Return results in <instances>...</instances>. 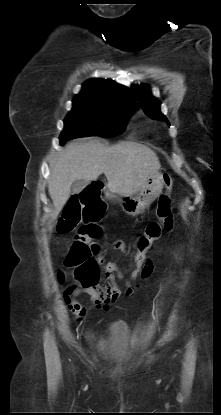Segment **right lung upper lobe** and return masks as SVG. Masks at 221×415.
<instances>
[{"label": "right lung upper lobe", "mask_w": 221, "mask_h": 415, "mask_svg": "<svg viewBox=\"0 0 221 415\" xmlns=\"http://www.w3.org/2000/svg\"><path fill=\"white\" fill-rule=\"evenodd\" d=\"M75 103H91L133 109L135 99L130 90L110 79H90L83 84L82 91L73 99Z\"/></svg>", "instance_id": "obj_1"}]
</instances>
